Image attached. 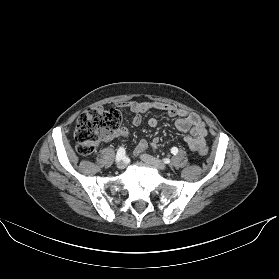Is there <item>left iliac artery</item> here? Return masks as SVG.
Masks as SVG:
<instances>
[{
  "label": "left iliac artery",
  "mask_w": 279,
  "mask_h": 279,
  "mask_svg": "<svg viewBox=\"0 0 279 279\" xmlns=\"http://www.w3.org/2000/svg\"><path fill=\"white\" fill-rule=\"evenodd\" d=\"M171 153L176 155L178 153V148L177 147H172ZM165 163H169V160H164Z\"/></svg>",
  "instance_id": "1"
}]
</instances>
